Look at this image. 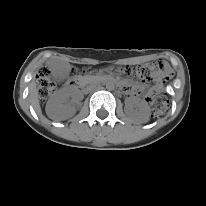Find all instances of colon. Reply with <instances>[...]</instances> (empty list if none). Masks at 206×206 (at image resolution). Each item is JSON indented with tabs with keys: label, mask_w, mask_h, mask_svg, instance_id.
<instances>
[{
	"label": "colon",
	"mask_w": 206,
	"mask_h": 206,
	"mask_svg": "<svg viewBox=\"0 0 206 206\" xmlns=\"http://www.w3.org/2000/svg\"><path fill=\"white\" fill-rule=\"evenodd\" d=\"M164 69V64L161 61L152 63L139 65L134 70L126 67L124 72L127 75L135 74L137 77L143 80H148L155 74L162 72ZM37 84H38V94L41 101H45L53 92L55 88V83L51 78L50 72L47 68H41L38 72L37 76ZM169 103L163 97H158L155 99H151V108L153 116L159 118L163 116L168 110Z\"/></svg>",
	"instance_id": "1"
}]
</instances>
